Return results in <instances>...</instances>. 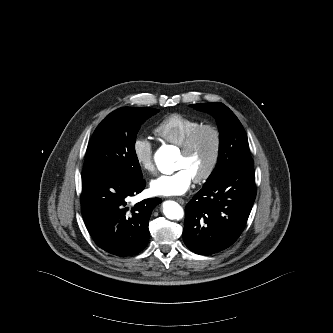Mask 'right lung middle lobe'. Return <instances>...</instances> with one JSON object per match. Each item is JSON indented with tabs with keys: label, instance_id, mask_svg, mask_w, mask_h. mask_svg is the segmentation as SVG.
I'll return each instance as SVG.
<instances>
[{
	"label": "right lung middle lobe",
	"instance_id": "1",
	"mask_svg": "<svg viewBox=\"0 0 333 333\" xmlns=\"http://www.w3.org/2000/svg\"><path fill=\"white\" fill-rule=\"evenodd\" d=\"M158 112L153 108L122 107L109 114L90 140L83 173L121 174L142 179L135 152L136 135L141 124Z\"/></svg>",
	"mask_w": 333,
	"mask_h": 333
}]
</instances>
